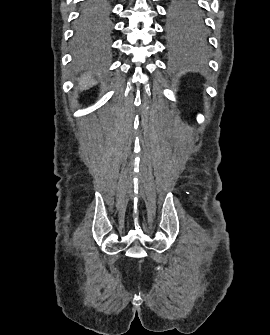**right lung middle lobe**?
<instances>
[{
	"label": "right lung middle lobe",
	"instance_id": "obj_1",
	"mask_svg": "<svg viewBox=\"0 0 270 335\" xmlns=\"http://www.w3.org/2000/svg\"><path fill=\"white\" fill-rule=\"evenodd\" d=\"M76 26L79 40L90 42L93 36L107 26L108 0H84Z\"/></svg>",
	"mask_w": 270,
	"mask_h": 335
}]
</instances>
